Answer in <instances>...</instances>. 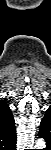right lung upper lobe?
Listing matches in <instances>:
<instances>
[{
	"mask_svg": "<svg viewBox=\"0 0 51 150\" xmlns=\"http://www.w3.org/2000/svg\"><path fill=\"white\" fill-rule=\"evenodd\" d=\"M16 146L15 122L11 109L0 101V150H12Z\"/></svg>",
	"mask_w": 51,
	"mask_h": 150,
	"instance_id": "cb5924a9",
	"label": "right lung upper lobe"
}]
</instances>
